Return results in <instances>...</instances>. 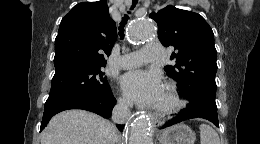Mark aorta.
Instances as JSON below:
<instances>
[{"label":"aorta","mask_w":260,"mask_h":144,"mask_svg":"<svg viewBox=\"0 0 260 144\" xmlns=\"http://www.w3.org/2000/svg\"><path fill=\"white\" fill-rule=\"evenodd\" d=\"M154 24L148 19L133 22L129 29V39L134 44H140L152 38ZM150 120L144 116L134 118L129 127V144H153Z\"/></svg>","instance_id":"762f6f07"}]
</instances>
